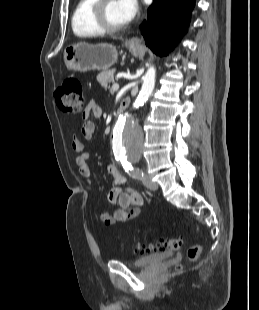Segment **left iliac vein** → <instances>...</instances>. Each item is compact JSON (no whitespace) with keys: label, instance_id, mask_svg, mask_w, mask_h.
I'll list each match as a JSON object with an SVG mask.
<instances>
[{"label":"left iliac vein","instance_id":"4c4485c4","mask_svg":"<svg viewBox=\"0 0 259 310\" xmlns=\"http://www.w3.org/2000/svg\"><path fill=\"white\" fill-rule=\"evenodd\" d=\"M141 181L145 187L148 189L155 191L158 189V185L154 183L151 178L145 173H143V176L141 177Z\"/></svg>","mask_w":259,"mask_h":310}]
</instances>
